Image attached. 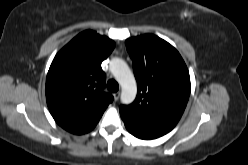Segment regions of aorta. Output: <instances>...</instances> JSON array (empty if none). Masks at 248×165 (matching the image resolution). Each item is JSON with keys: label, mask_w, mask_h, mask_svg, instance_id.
I'll list each match as a JSON object with an SVG mask.
<instances>
[{"label": "aorta", "mask_w": 248, "mask_h": 165, "mask_svg": "<svg viewBox=\"0 0 248 165\" xmlns=\"http://www.w3.org/2000/svg\"><path fill=\"white\" fill-rule=\"evenodd\" d=\"M110 71L122 87L121 102L130 104L137 94V85L134 75L123 59L112 58L110 61Z\"/></svg>", "instance_id": "aorta-1"}]
</instances>
